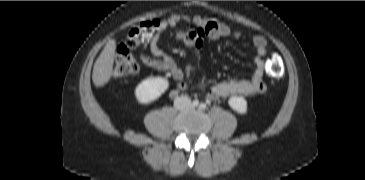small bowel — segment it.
<instances>
[{"label": "small bowel", "mask_w": 365, "mask_h": 180, "mask_svg": "<svg viewBox=\"0 0 365 180\" xmlns=\"http://www.w3.org/2000/svg\"><path fill=\"white\" fill-rule=\"evenodd\" d=\"M181 22H188L195 26L193 29L179 30L176 33V40L182 42L190 49H200L203 42L207 39L217 40L222 37L238 38L241 36V31L233 29L223 22L203 16L173 14L169 18L159 21L158 31L148 43L151 56L141 54V60L151 68L170 73L175 80L180 82L179 87L185 90L188 88V84L183 82V80L189 73V69L186 72L183 71L175 59L164 53L159 46L160 34L168 28L177 27ZM252 44L256 53L253 59L254 74L252 78L215 83L210 87L208 93L210 99H228L236 95L254 97L266 91L267 86L263 80L265 73L263 57L267 51V41L262 35H254L252 37Z\"/></svg>", "instance_id": "1"}]
</instances>
